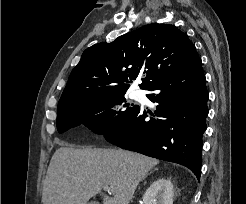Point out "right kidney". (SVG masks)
Wrapping results in <instances>:
<instances>
[{"label": "right kidney", "mask_w": 246, "mask_h": 204, "mask_svg": "<svg viewBox=\"0 0 246 204\" xmlns=\"http://www.w3.org/2000/svg\"><path fill=\"white\" fill-rule=\"evenodd\" d=\"M144 204H173V185L170 180L157 179L143 195Z\"/></svg>", "instance_id": "obj_1"}]
</instances>
